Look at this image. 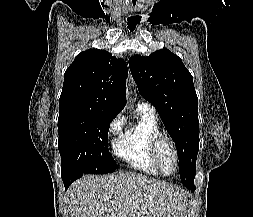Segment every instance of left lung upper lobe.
Returning <instances> with one entry per match:
<instances>
[{"instance_id": "left-lung-upper-lobe-1", "label": "left lung upper lobe", "mask_w": 253, "mask_h": 217, "mask_svg": "<svg viewBox=\"0 0 253 217\" xmlns=\"http://www.w3.org/2000/svg\"><path fill=\"white\" fill-rule=\"evenodd\" d=\"M129 67L140 94L156 108L175 142L181 182L188 189L195 188L199 121L192 75L168 49L148 57L135 55L129 59Z\"/></svg>"}]
</instances>
